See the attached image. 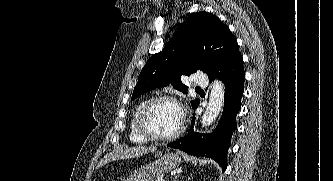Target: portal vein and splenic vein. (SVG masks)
I'll list each match as a JSON object with an SVG mask.
<instances>
[{
	"mask_svg": "<svg viewBox=\"0 0 333 181\" xmlns=\"http://www.w3.org/2000/svg\"><path fill=\"white\" fill-rule=\"evenodd\" d=\"M158 181H164L162 178H160Z\"/></svg>",
	"mask_w": 333,
	"mask_h": 181,
	"instance_id": "obj_1",
	"label": "portal vein and splenic vein"
}]
</instances>
